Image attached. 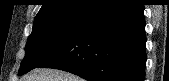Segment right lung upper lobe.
Listing matches in <instances>:
<instances>
[{"instance_id": "cb5924a9", "label": "right lung upper lobe", "mask_w": 169, "mask_h": 81, "mask_svg": "<svg viewBox=\"0 0 169 81\" xmlns=\"http://www.w3.org/2000/svg\"><path fill=\"white\" fill-rule=\"evenodd\" d=\"M122 0H44L35 20L72 15L91 19Z\"/></svg>"}]
</instances>
